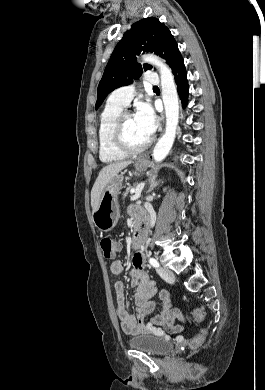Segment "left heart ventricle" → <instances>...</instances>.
I'll return each mask as SVG.
<instances>
[{
    "mask_svg": "<svg viewBox=\"0 0 265 390\" xmlns=\"http://www.w3.org/2000/svg\"><path fill=\"white\" fill-rule=\"evenodd\" d=\"M124 135L127 143L132 147H139L148 140L140 130L134 116H129L125 120Z\"/></svg>",
    "mask_w": 265,
    "mask_h": 390,
    "instance_id": "obj_1",
    "label": "left heart ventricle"
}]
</instances>
